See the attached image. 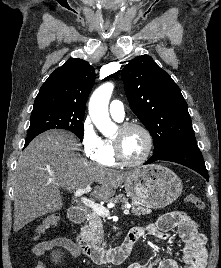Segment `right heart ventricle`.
I'll list each match as a JSON object with an SVG mask.
<instances>
[{"label":"right heart ventricle","instance_id":"obj_1","mask_svg":"<svg viewBox=\"0 0 221 268\" xmlns=\"http://www.w3.org/2000/svg\"><path fill=\"white\" fill-rule=\"evenodd\" d=\"M99 163H101L105 166L116 165V159L114 156L113 145H112V141L110 139L104 140V153H103Z\"/></svg>","mask_w":221,"mask_h":268}]
</instances>
